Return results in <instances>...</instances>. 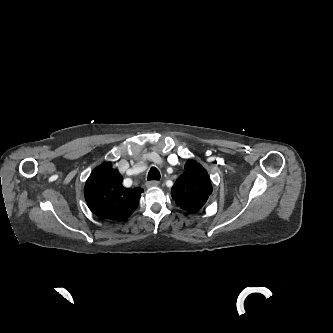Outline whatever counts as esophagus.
<instances>
[{
  "label": "esophagus",
  "instance_id": "1",
  "mask_svg": "<svg viewBox=\"0 0 333 333\" xmlns=\"http://www.w3.org/2000/svg\"><path fill=\"white\" fill-rule=\"evenodd\" d=\"M158 185H159V182L156 181V180L148 181V182L146 183V186H147L148 188H150V187H156V186H158Z\"/></svg>",
  "mask_w": 333,
  "mask_h": 333
}]
</instances>
